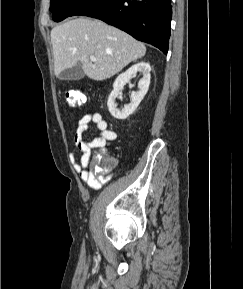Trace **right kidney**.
Segmentation results:
<instances>
[{
  "instance_id": "ca27d5eb",
  "label": "right kidney",
  "mask_w": 243,
  "mask_h": 289,
  "mask_svg": "<svg viewBox=\"0 0 243 289\" xmlns=\"http://www.w3.org/2000/svg\"><path fill=\"white\" fill-rule=\"evenodd\" d=\"M150 71L151 67L149 63L141 61L131 66L127 71L120 74L113 84V91L110 93L107 106L111 115L117 119H126L129 117L138 107L140 102L146 95L150 85ZM143 74L142 79L138 82V92L131 93V102L123 109H118L115 103L116 98L123 89V86L130 81V79L137 73Z\"/></svg>"
}]
</instances>
